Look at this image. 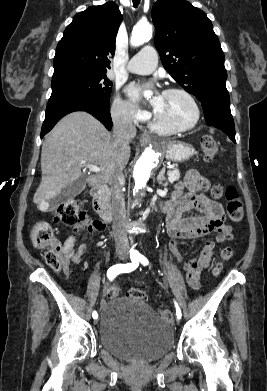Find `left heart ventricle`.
<instances>
[{"label": "left heart ventricle", "mask_w": 267, "mask_h": 391, "mask_svg": "<svg viewBox=\"0 0 267 391\" xmlns=\"http://www.w3.org/2000/svg\"><path fill=\"white\" fill-rule=\"evenodd\" d=\"M156 115L173 126H186L194 118V110L186 97L178 93H163L153 100Z\"/></svg>", "instance_id": "left-heart-ventricle-1"}]
</instances>
